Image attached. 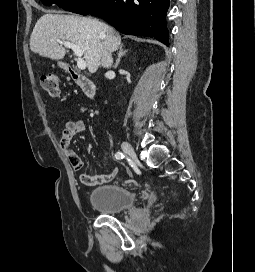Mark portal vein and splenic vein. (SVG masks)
Returning <instances> with one entry per match:
<instances>
[{"instance_id":"1","label":"portal vein and splenic vein","mask_w":255,"mask_h":272,"mask_svg":"<svg viewBox=\"0 0 255 272\" xmlns=\"http://www.w3.org/2000/svg\"><path fill=\"white\" fill-rule=\"evenodd\" d=\"M58 42L64 45L66 48H70L74 51L75 55L77 56V66L79 69H86V61L82 59L83 51L78 45L69 41L58 40Z\"/></svg>"}]
</instances>
